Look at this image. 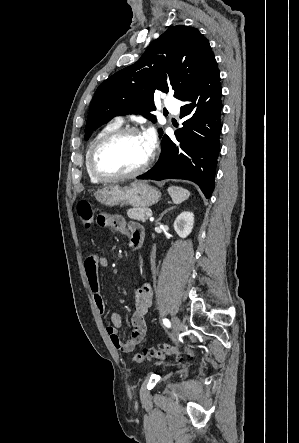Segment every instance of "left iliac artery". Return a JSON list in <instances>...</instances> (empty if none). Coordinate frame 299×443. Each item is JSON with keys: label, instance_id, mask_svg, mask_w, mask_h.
I'll list each match as a JSON object with an SVG mask.
<instances>
[{"label": "left iliac artery", "instance_id": "left-iliac-artery-1", "mask_svg": "<svg viewBox=\"0 0 299 443\" xmlns=\"http://www.w3.org/2000/svg\"><path fill=\"white\" fill-rule=\"evenodd\" d=\"M163 324L166 326V327H170L171 326V323H170V321L167 319V318H164L163 319Z\"/></svg>", "mask_w": 299, "mask_h": 443}]
</instances>
